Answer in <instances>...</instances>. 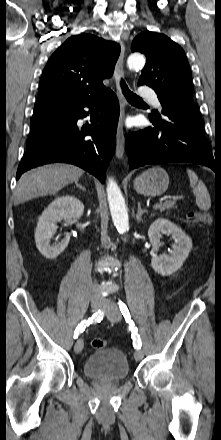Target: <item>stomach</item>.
Masks as SVG:
<instances>
[{"mask_svg":"<svg viewBox=\"0 0 221 440\" xmlns=\"http://www.w3.org/2000/svg\"><path fill=\"white\" fill-rule=\"evenodd\" d=\"M169 185V176L161 167H152L134 180V189L144 196H158L164 193Z\"/></svg>","mask_w":221,"mask_h":440,"instance_id":"0dacf381","label":"stomach"}]
</instances>
